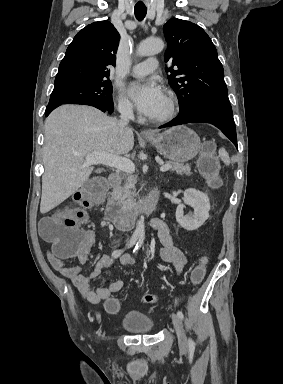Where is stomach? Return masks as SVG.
I'll return each instance as SVG.
<instances>
[{
	"label": "stomach",
	"instance_id": "0dacf381",
	"mask_svg": "<svg viewBox=\"0 0 283 384\" xmlns=\"http://www.w3.org/2000/svg\"><path fill=\"white\" fill-rule=\"evenodd\" d=\"M145 140L155 146L162 156L177 164H183L195 158L201 146L199 136L186 126H175L163 134H155L154 138H145Z\"/></svg>",
	"mask_w": 283,
	"mask_h": 384
}]
</instances>
